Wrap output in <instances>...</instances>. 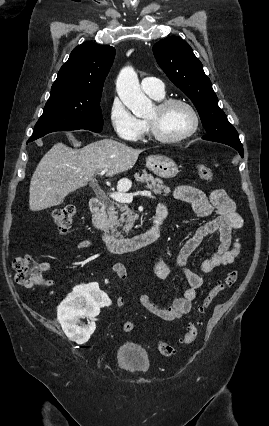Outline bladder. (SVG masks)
I'll use <instances>...</instances> for the list:
<instances>
[{
    "mask_svg": "<svg viewBox=\"0 0 269 426\" xmlns=\"http://www.w3.org/2000/svg\"><path fill=\"white\" fill-rule=\"evenodd\" d=\"M117 362L127 370L137 373L148 371L150 359L147 351L140 345L124 341L116 351Z\"/></svg>",
    "mask_w": 269,
    "mask_h": 426,
    "instance_id": "31cf9c89",
    "label": "bladder"
}]
</instances>
